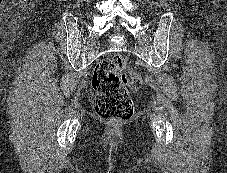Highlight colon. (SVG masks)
I'll return each mask as SVG.
<instances>
[{
    "label": "colon",
    "mask_w": 227,
    "mask_h": 173,
    "mask_svg": "<svg viewBox=\"0 0 227 173\" xmlns=\"http://www.w3.org/2000/svg\"><path fill=\"white\" fill-rule=\"evenodd\" d=\"M141 83L140 74L130 68L122 56L98 62L92 76L96 115L104 120H129L134 114L129 91L137 90Z\"/></svg>",
    "instance_id": "5ec220e1"
}]
</instances>
